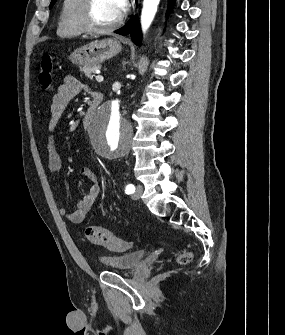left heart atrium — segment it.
<instances>
[{
	"instance_id": "1",
	"label": "left heart atrium",
	"mask_w": 285,
	"mask_h": 335,
	"mask_svg": "<svg viewBox=\"0 0 285 335\" xmlns=\"http://www.w3.org/2000/svg\"><path fill=\"white\" fill-rule=\"evenodd\" d=\"M119 15H122L123 12L125 11V5L123 1L120 2L119 7H118Z\"/></svg>"
}]
</instances>
